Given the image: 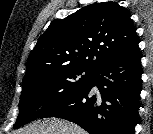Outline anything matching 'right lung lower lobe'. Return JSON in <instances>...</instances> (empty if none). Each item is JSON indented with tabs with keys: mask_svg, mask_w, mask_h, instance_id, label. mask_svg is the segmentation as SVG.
<instances>
[{
	"mask_svg": "<svg viewBox=\"0 0 153 134\" xmlns=\"http://www.w3.org/2000/svg\"><path fill=\"white\" fill-rule=\"evenodd\" d=\"M141 74L137 45L101 63L85 86L39 118L66 119L89 134H134L140 107Z\"/></svg>",
	"mask_w": 153,
	"mask_h": 134,
	"instance_id": "98d812e1",
	"label": "right lung lower lobe"
}]
</instances>
